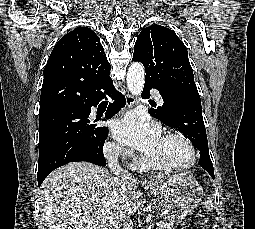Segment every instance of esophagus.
Segmentation results:
<instances>
[{
  "mask_svg": "<svg viewBox=\"0 0 255 229\" xmlns=\"http://www.w3.org/2000/svg\"><path fill=\"white\" fill-rule=\"evenodd\" d=\"M135 103H136L135 98H134L131 94L128 93V94L126 95V105H127V107H128V108H131L132 106L135 105ZM142 183H143L144 185H149V186L152 185V183H151L150 181L146 180V179H144V180L142 181Z\"/></svg>",
  "mask_w": 255,
  "mask_h": 229,
  "instance_id": "1",
  "label": "esophagus"
}]
</instances>
